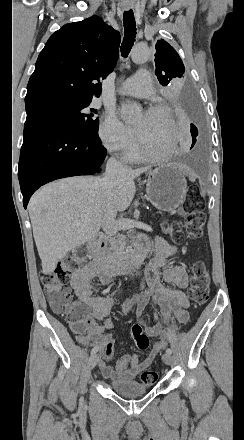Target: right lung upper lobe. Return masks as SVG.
Wrapping results in <instances>:
<instances>
[{
  "mask_svg": "<svg viewBox=\"0 0 244 440\" xmlns=\"http://www.w3.org/2000/svg\"><path fill=\"white\" fill-rule=\"evenodd\" d=\"M119 45V32L98 16L64 25L41 51L25 99L47 94L99 97L100 81L113 70Z\"/></svg>",
  "mask_w": 244,
  "mask_h": 440,
  "instance_id": "cb5924a9",
  "label": "right lung upper lobe"
}]
</instances>
